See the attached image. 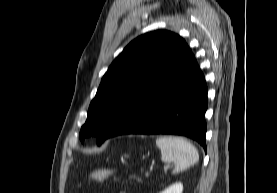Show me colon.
<instances>
[{
	"label": "colon",
	"mask_w": 277,
	"mask_h": 193,
	"mask_svg": "<svg viewBox=\"0 0 277 193\" xmlns=\"http://www.w3.org/2000/svg\"><path fill=\"white\" fill-rule=\"evenodd\" d=\"M114 175V172L109 169H97L92 171L88 178L93 182H105Z\"/></svg>",
	"instance_id": "colon-1"
}]
</instances>
